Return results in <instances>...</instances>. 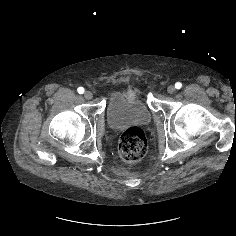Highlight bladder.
<instances>
[{
  "label": "bladder",
  "mask_w": 236,
  "mask_h": 236,
  "mask_svg": "<svg viewBox=\"0 0 236 236\" xmlns=\"http://www.w3.org/2000/svg\"><path fill=\"white\" fill-rule=\"evenodd\" d=\"M107 124L118 129L132 122L146 124L151 109L142 94L132 90H118L108 101L105 110Z\"/></svg>",
  "instance_id": "bladder-1"
}]
</instances>
